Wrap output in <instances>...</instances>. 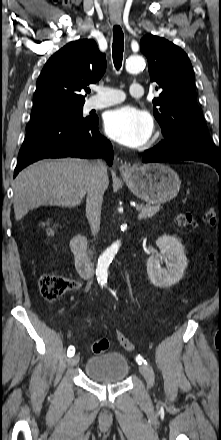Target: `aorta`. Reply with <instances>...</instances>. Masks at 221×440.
I'll return each instance as SVG.
<instances>
[{
	"mask_svg": "<svg viewBox=\"0 0 221 440\" xmlns=\"http://www.w3.org/2000/svg\"><path fill=\"white\" fill-rule=\"evenodd\" d=\"M145 67L144 58L138 55L130 56L126 60V70L129 73H137ZM120 241H116L109 248H107L98 260L96 269L97 280L100 285L105 286L107 284L108 268L109 265L118 251Z\"/></svg>",
	"mask_w": 221,
	"mask_h": 440,
	"instance_id": "obj_1",
	"label": "aorta"
}]
</instances>
